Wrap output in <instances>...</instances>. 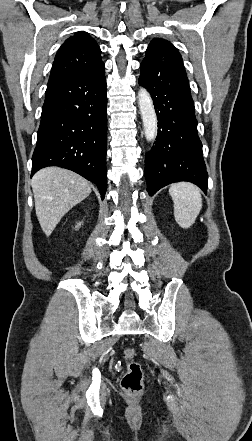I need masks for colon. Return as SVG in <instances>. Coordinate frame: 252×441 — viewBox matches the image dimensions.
I'll return each mask as SVG.
<instances>
[{"mask_svg": "<svg viewBox=\"0 0 252 441\" xmlns=\"http://www.w3.org/2000/svg\"><path fill=\"white\" fill-rule=\"evenodd\" d=\"M123 355L127 369L121 380V386L127 393L136 395L143 387V371L141 365L134 360L136 352L133 348H126Z\"/></svg>", "mask_w": 252, "mask_h": 441, "instance_id": "1", "label": "colon"}]
</instances>
